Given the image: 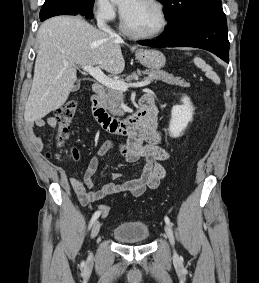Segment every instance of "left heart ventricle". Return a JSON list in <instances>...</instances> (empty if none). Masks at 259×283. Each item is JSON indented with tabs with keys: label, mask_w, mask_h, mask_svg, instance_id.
<instances>
[{
	"label": "left heart ventricle",
	"mask_w": 259,
	"mask_h": 283,
	"mask_svg": "<svg viewBox=\"0 0 259 283\" xmlns=\"http://www.w3.org/2000/svg\"><path fill=\"white\" fill-rule=\"evenodd\" d=\"M121 6L125 20L133 31L151 33L161 26V15L148 0H123Z\"/></svg>",
	"instance_id": "1"
}]
</instances>
